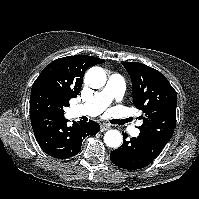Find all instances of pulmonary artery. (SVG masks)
<instances>
[{"label": "pulmonary artery", "instance_id": "pulmonary-artery-1", "mask_svg": "<svg viewBox=\"0 0 199 199\" xmlns=\"http://www.w3.org/2000/svg\"><path fill=\"white\" fill-rule=\"evenodd\" d=\"M124 90V79L119 74H112L109 76L106 86L100 92L94 94L86 102L74 106L72 113L74 116H97L102 113L113 100H119ZM131 134L137 136L139 130L134 128L131 130Z\"/></svg>", "mask_w": 199, "mask_h": 199}]
</instances>
